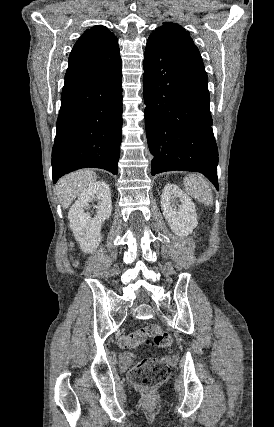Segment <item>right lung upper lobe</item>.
<instances>
[{
	"label": "right lung upper lobe",
	"mask_w": 274,
	"mask_h": 427,
	"mask_svg": "<svg viewBox=\"0 0 274 427\" xmlns=\"http://www.w3.org/2000/svg\"><path fill=\"white\" fill-rule=\"evenodd\" d=\"M121 62L117 38L106 27L87 29L75 43L65 85L100 75Z\"/></svg>",
	"instance_id": "obj_1"
}]
</instances>
